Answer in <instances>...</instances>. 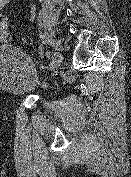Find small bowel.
I'll return each mask as SVG.
<instances>
[{
  "mask_svg": "<svg viewBox=\"0 0 131 177\" xmlns=\"http://www.w3.org/2000/svg\"><path fill=\"white\" fill-rule=\"evenodd\" d=\"M9 0H0V11L5 8Z\"/></svg>",
  "mask_w": 131,
  "mask_h": 177,
  "instance_id": "obj_1",
  "label": "small bowel"
}]
</instances>
